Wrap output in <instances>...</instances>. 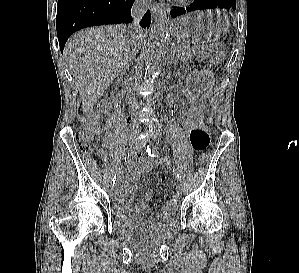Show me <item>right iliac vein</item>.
<instances>
[{"mask_svg":"<svg viewBox=\"0 0 299 273\" xmlns=\"http://www.w3.org/2000/svg\"><path fill=\"white\" fill-rule=\"evenodd\" d=\"M138 144L135 141H130L128 144V151L133 152L137 148ZM114 188H110V193H113Z\"/></svg>","mask_w":299,"mask_h":273,"instance_id":"1","label":"right iliac vein"}]
</instances>
